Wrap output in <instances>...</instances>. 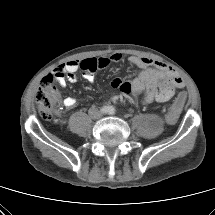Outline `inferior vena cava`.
I'll return each mask as SVG.
<instances>
[{
  "label": "inferior vena cava",
  "instance_id": "inferior-vena-cava-1",
  "mask_svg": "<svg viewBox=\"0 0 215 215\" xmlns=\"http://www.w3.org/2000/svg\"><path fill=\"white\" fill-rule=\"evenodd\" d=\"M89 115L91 116V118L97 119L101 116V112L98 109L92 107L89 109Z\"/></svg>",
  "mask_w": 215,
  "mask_h": 215
}]
</instances>
